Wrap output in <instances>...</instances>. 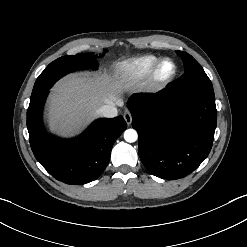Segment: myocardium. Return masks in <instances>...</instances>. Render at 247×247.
Instances as JSON below:
<instances>
[{"mask_svg": "<svg viewBox=\"0 0 247 247\" xmlns=\"http://www.w3.org/2000/svg\"><path fill=\"white\" fill-rule=\"evenodd\" d=\"M172 62L173 65H174V71L173 73L165 78V79H161L159 77V69L161 67V65L164 63V62ZM178 65L177 63L171 59V58H168V57H165V58H161L156 64L155 66L153 67L151 73L149 74L148 76V88L151 90V91H157V90H161L163 88H165L166 86H168L170 83H172L175 78L177 77L178 75Z\"/></svg>", "mask_w": 247, "mask_h": 247, "instance_id": "obj_1", "label": "myocardium"}]
</instances>
